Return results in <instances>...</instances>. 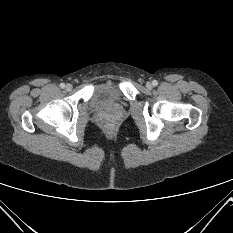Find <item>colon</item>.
<instances>
[{"label": "colon", "mask_w": 233, "mask_h": 233, "mask_svg": "<svg viewBox=\"0 0 233 233\" xmlns=\"http://www.w3.org/2000/svg\"><path fill=\"white\" fill-rule=\"evenodd\" d=\"M112 129H113V125L111 123H108L106 125V130L110 132V131H112Z\"/></svg>", "instance_id": "obj_1"}]
</instances>
